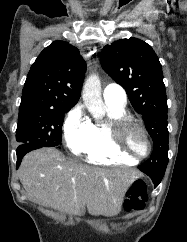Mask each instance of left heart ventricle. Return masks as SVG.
<instances>
[{
    "label": "left heart ventricle",
    "instance_id": "obj_1",
    "mask_svg": "<svg viewBox=\"0 0 187 242\" xmlns=\"http://www.w3.org/2000/svg\"><path fill=\"white\" fill-rule=\"evenodd\" d=\"M125 146L127 150L135 156L144 155L148 148L142 133L134 128L127 131L125 135Z\"/></svg>",
    "mask_w": 187,
    "mask_h": 242
}]
</instances>
